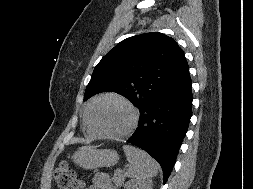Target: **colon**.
I'll use <instances>...</instances> for the list:
<instances>
[{
	"label": "colon",
	"instance_id": "1",
	"mask_svg": "<svg viewBox=\"0 0 253 189\" xmlns=\"http://www.w3.org/2000/svg\"><path fill=\"white\" fill-rule=\"evenodd\" d=\"M54 179L59 189H82V182L74 171L66 164H61L54 173Z\"/></svg>",
	"mask_w": 253,
	"mask_h": 189
}]
</instances>
